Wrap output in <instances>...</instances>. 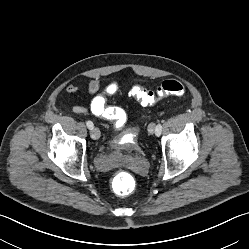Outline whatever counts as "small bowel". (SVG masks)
<instances>
[{
  "mask_svg": "<svg viewBox=\"0 0 249 249\" xmlns=\"http://www.w3.org/2000/svg\"><path fill=\"white\" fill-rule=\"evenodd\" d=\"M101 88V80L94 78L89 81L87 85V93L92 96L89 107L83 105H75L72 107V112L75 114H84L88 111L97 117L108 119L114 121L117 126L118 122H123L126 120L125 112L113 105L107 103V96L114 94L117 91L116 83H111L107 85L103 93H99ZM66 92L69 94H77L81 92V88L74 84H68L66 86ZM102 157L100 159H104ZM139 169L143 171L145 169V163L139 162Z\"/></svg>",
  "mask_w": 249,
  "mask_h": 249,
  "instance_id": "c3829d8e",
  "label": "small bowel"
}]
</instances>
